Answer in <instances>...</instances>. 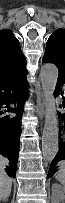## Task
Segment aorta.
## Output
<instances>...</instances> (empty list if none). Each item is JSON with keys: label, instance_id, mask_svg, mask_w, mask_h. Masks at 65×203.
<instances>
[{"label": "aorta", "instance_id": "762f6f07", "mask_svg": "<svg viewBox=\"0 0 65 203\" xmlns=\"http://www.w3.org/2000/svg\"><path fill=\"white\" fill-rule=\"evenodd\" d=\"M58 79V69L54 64H44L40 70L41 85L46 97L45 122L42 134V154L44 161L51 163L59 150L58 121L54 106V90Z\"/></svg>", "mask_w": 65, "mask_h": 203}]
</instances>
